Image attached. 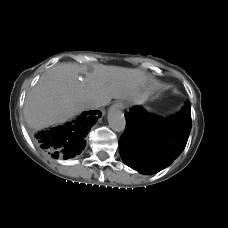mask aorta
<instances>
[{"instance_id": "obj_1", "label": "aorta", "mask_w": 228, "mask_h": 228, "mask_svg": "<svg viewBox=\"0 0 228 228\" xmlns=\"http://www.w3.org/2000/svg\"><path fill=\"white\" fill-rule=\"evenodd\" d=\"M108 123L112 130L116 132H123L126 127V120L122 111L112 106L108 111Z\"/></svg>"}]
</instances>
